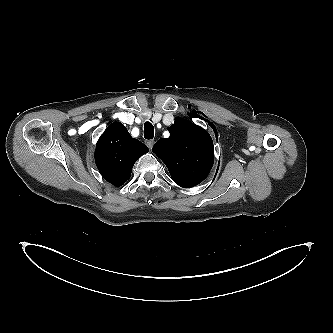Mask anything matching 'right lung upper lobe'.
Listing matches in <instances>:
<instances>
[{"label":"right lung upper lobe","mask_w":333,"mask_h":333,"mask_svg":"<svg viewBox=\"0 0 333 333\" xmlns=\"http://www.w3.org/2000/svg\"><path fill=\"white\" fill-rule=\"evenodd\" d=\"M148 147L131 137L120 122L110 124L99 138L95 162L101 175L114 186H121L131 176L134 163Z\"/></svg>","instance_id":"1"}]
</instances>
